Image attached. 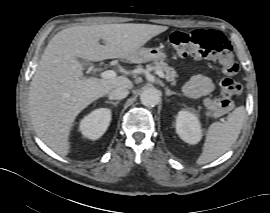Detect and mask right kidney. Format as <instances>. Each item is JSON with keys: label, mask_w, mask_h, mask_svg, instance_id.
<instances>
[{"label": "right kidney", "mask_w": 270, "mask_h": 213, "mask_svg": "<svg viewBox=\"0 0 270 213\" xmlns=\"http://www.w3.org/2000/svg\"><path fill=\"white\" fill-rule=\"evenodd\" d=\"M110 121L111 110L99 108L81 120L79 130L86 138L96 140L106 132Z\"/></svg>", "instance_id": "1"}]
</instances>
